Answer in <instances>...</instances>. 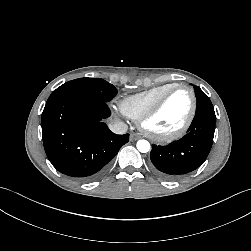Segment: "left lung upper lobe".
I'll use <instances>...</instances> for the list:
<instances>
[{"label":"left lung upper lobe","mask_w":251,"mask_h":251,"mask_svg":"<svg viewBox=\"0 0 251 251\" xmlns=\"http://www.w3.org/2000/svg\"><path fill=\"white\" fill-rule=\"evenodd\" d=\"M194 88L197 98L196 114L207 113L215 115L213 105L208 96L198 86H195Z\"/></svg>","instance_id":"1"}]
</instances>
